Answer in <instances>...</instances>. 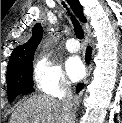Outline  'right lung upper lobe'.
<instances>
[{"mask_svg": "<svg viewBox=\"0 0 122 123\" xmlns=\"http://www.w3.org/2000/svg\"><path fill=\"white\" fill-rule=\"evenodd\" d=\"M72 10L75 12L81 22H86V18L83 14V7L78 0H67ZM43 35V29L40 23H37L32 29V37L24 45L18 46L11 54L8 70L14 68L24 61L33 58L34 52L40 43Z\"/></svg>", "mask_w": 122, "mask_h": 123, "instance_id": "obj_1", "label": "right lung upper lobe"}]
</instances>
